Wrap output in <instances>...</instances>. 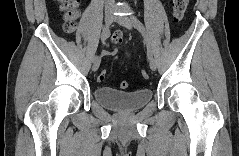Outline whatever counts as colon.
I'll use <instances>...</instances> for the list:
<instances>
[{
	"instance_id": "colon-1",
	"label": "colon",
	"mask_w": 239,
	"mask_h": 156,
	"mask_svg": "<svg viewBox=\"0 0 239 156\" xmlns=\"http://www.w3.org/2000/svg\"><path fill=\"white\" fill-rule=\"evenodd\" d=\"M188 0H174L173 14L177 21H180L186 11ZM60 9L64 14V29L66 32H72L75 28L76 20L79 16L78 3L75 0H64L60 3ZM143 79L148 78L146 71H141ZM107 79V72L103 69L98 75V81L104 82ZM129 86L127 81H122L120 87L126 89Z\"/></svg>"
}]
</instances>
